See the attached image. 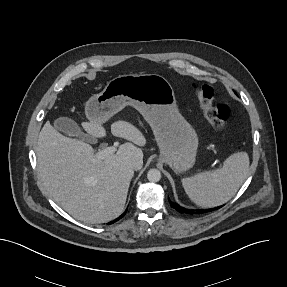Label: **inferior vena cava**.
Returning <instances> with one entry per match:
<instances>
[{"instance_id":"602c4592","label":"inferior vena cava","mask_w":287,"mask_h":287,"mask_svg":"<svg viewBox=\"0 0 287 287\" xmlns=\"http://www.w3.org/2000/svg\"><path fill=\"white\" fill-rule=\"evenodd\" d=\"M129 166L133 170H140L143 166V160L134 158L129 161Z\"/></svg>"}]
</instances>
